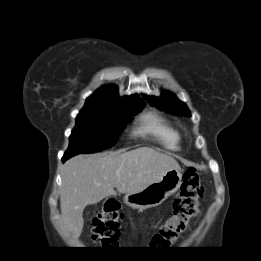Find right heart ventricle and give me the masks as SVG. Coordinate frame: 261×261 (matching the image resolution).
<instances>
[{"label": "right heart ventricle", "mask_w": 261, "mask_h": 261, "mask_svg": "<svg viewBox=\"0 0 261 261\" xmlns=\"http://www.w3.org/2000/svg\"><path fill=\"white\" fill-rule=\"evenodd\" d=\"M141 132L153 136L164 147L175 150L179 146L180 134L161 116L150 113L143 117Z\"/></svg>", "instance_id": "obj_1"}]
</instances>
